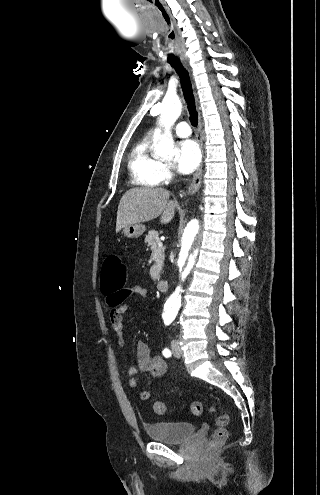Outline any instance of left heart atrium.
Instances as JSON below:
<instances>
[{"label":"left heart atrium","instance_id":"left-heart-atrium-1","mask_svg":"<svg viewBox=\"0 0 320 495\" xmlns=\"http://www.w3.org/2000/svg\"><path fill=\"white\" fill-rule=\"evenodd\" d=\"M201 162V151L193 140H184L179 143L177 155V169L182 174H190L197 169Z\"/></svg>","mask_w":320,"mask_h":495}]
</instances>
